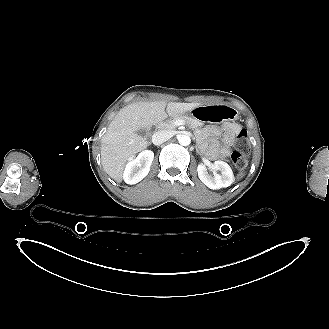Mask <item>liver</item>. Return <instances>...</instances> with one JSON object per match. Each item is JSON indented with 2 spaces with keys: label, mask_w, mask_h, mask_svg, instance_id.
Wrapping results in <instances>:
<instances>
[{
  "label": "liver",
  "mask_w": 329,
  "mask_h": 329,
  "mask_svg": "<svg viewBox=\"0 0 329 329\" xmlns=\"http://www.w3.org/2000/svg\"><path fill=\"white\" fill-rule=\"evenodd\" d=\"M200 103L165 101L135 102L122 108L102 137L101 158L104 171L115 181L121 182L126 162L149 143L136 132L161 122L168 116L177 117ZM166 108V112H165Z\"/></svg>",
  "instance_id": "liver-1"
}]
</instances>
